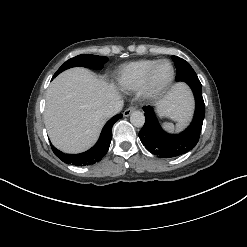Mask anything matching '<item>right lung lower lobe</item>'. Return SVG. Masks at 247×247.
<instances>
[{"label":"right lung lower lobe","mask_w":247,"mask_h":247,"mask_svg":"<svg viewBox=\"0 0 247 247\" xmlns=\"http://www.w3.org/2000/svg\"><path fill=\"white\" fill-rule=\"evenodd\" d=\"M122 116V114H118L105 124L98 142L88 151L81 154H65L51 145L54 154L66 164H73L76 166L92 165L99 162L109 150L112 139V127L118 119L122 118Z\"/></svg>","instance_id":"1"}]
</instances>
